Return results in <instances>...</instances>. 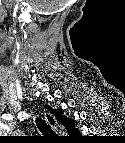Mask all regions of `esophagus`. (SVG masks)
<instances>
[{"label": "esophagus", "instance_id": "34e87169", "mask_svg": "<svg viewBox=\"0 0 125 143\" xmlns=\"http://www.w3.org/2000/svg\"><path fill=\"white\" fill-rule=\"evenodd\" d=\"M44 117H45L46 122H47L53 129H56L57 122H56L55 117H53V116H52L50 113H48V112L44 113Z\"/></svg>", "mask_w": 125, "mask_h": 143}]
</instances>
